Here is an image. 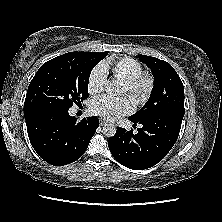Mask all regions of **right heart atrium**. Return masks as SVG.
<instances>
[{"label":"right heart atrium","instance_id":"d8ad5b80","mask_svg":"<svg viewBox=\"0 0 222 222\" xmlns=\"http://www.w3.org/2000/svg\"><path fill=\"white\" fill-rule=\"evenodd\" d=\"M107 74L102 65L96 66L90 73L88 78V91L94 95L101 92L106 84Z\"/></svg>","mask_w":222,"mask_h":222}]
</instances>
